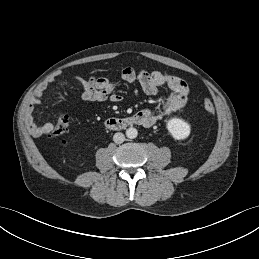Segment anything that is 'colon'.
Listing matches in <instances>:
<instances>
[{"label":"colon","instance_id":"1","mask_svg":"<svg viewBox=\"0 0 259 259\" xmlns=\"http://www.w3.org/2000/svg\"><path fill=\"white\" fill-rule=\"evenodd\" d=\"M204 109L210 114H213L215 112V107L213 103L209 100H206L204 102ZM69 126H70V117L68 115L60 116L53 131L51 132V136L57 137L65 134L68 131Z\"/></svg>","mask_w":259,"mask_h":259}]
</instances>
